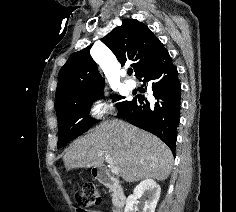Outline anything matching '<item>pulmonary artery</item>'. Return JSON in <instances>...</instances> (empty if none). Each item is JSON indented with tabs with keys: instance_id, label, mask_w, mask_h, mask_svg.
I'll return each instance as SVG.
<instances>
[{
	"instance_id": "pulmonary-artery-1",
	"label": "pulmonary artery",
	"mask_w": 236,
	"mask_h": 212,
	"mask_svg": "<svg viewBox=\"0 0 236 212\" xmlns=\"http://www.w3.org/2000/svg\"><path fill=\"white\" fill-rule=\"evenodd\" d=\"M125 86L129 89V90H132L136 87V82L132 79H127L125 81Z\"/></svg>"
}]
</instances>
